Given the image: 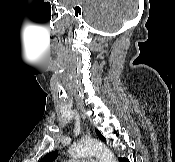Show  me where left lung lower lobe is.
Returning <instances> with one entry per match:
<instances>
[{
  "label": "left lung lower lobe",
  "instance_id": "left-lung-lower-lobe-1",
  "mask_svg": "<svg viewBox=\"0 0 175 162\" xmlns=\"http://www.w3.org/2000/svg\"><path fill=\"white\" fill-rule=\"evenodd\" d=\"M120 162H129L127 158H119Z\"/></svg>",
  "mask_w": 175,
  "mask_h": 162
}]
</instances>
